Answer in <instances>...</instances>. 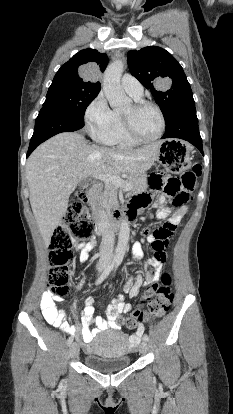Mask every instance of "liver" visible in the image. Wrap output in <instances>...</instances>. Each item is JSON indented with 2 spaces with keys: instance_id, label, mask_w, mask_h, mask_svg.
<instances>
[{
  "instance_id": "6515ba94",
  "label": "liver",
  "mask_w": 233,
  "mask_h": 414,
  "mask_svg": "<svg viewBox=\"0 0 233 414\" xmlns=\"http://www.w3.org/2000/svg\"><path fill=\"white\" fill-rule=\"evenodd\" d=\"M159 143L111 149L62 132L39 145L26 163L30 204L45 245L51 241L78 183L102 174L142 173L153 165Z\"/></svg>"
}]
</instances>
